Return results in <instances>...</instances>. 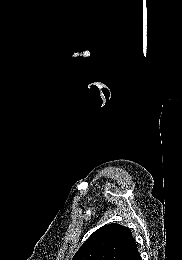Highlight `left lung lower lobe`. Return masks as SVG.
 Instances as JSON below:
<instances>
[{"instance_id":"left-lung-lower-lobe-1","label":"left lung lower lobe","mask_w":182,"mask_h":260,"mask_svg":"<svg viewBox=\"0 0 182 260\" xmlns=\"http://www.w3.org/2000/svg\"><path fill=\"white\" fill-rule=\"evenodd\" d=\"M124 260H141V256L138 252V248L136 244L132 247V249L126 255Z\"/></svg>"}]
</instances>
